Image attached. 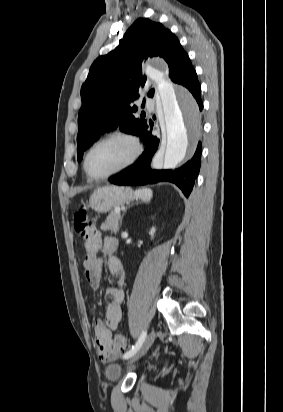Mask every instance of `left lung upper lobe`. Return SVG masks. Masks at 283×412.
Masks as SVG:
<instances>
[{
	"instance_id": "1",
	"label": "left lung upper lobe",
	"mask_w": 283,
	"mask_h": 412,
	"mask_svg": "<svg viewBox=\"0 0 283 412\" xmlns=\"http://www.w3.org/2000/svg\"><path fill=\"white\" fill-rule=\"evenodd\" d=\"M149 56H160L168 63L173 82L185 77L193 66L177 37L160 23L138 19L127 30L115 50L97 58L81 88L82 107L78 114L77 157L100 134L120 128L139 135L148 124L135 118L137 111L131 103L138 98L146 77L142 76V61ZM153 97L154 89L147 92Z\"/></svg>"
}]
</instances>
